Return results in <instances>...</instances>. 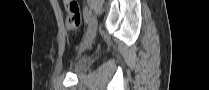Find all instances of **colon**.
<instances>
[{
  "mask_svg": "<svg viewBox=\"0 0 209 90\" xmlns=\"http://www.w3.org/2000/svg\"><path fill=\"white\" fill-rule=\"evenodd\" d=\"M65 8L68 13L66 26L69 30H77L81 26V12L79 5L74 0H65Z\"/></svg>",
  "mask_w": 209,
  "mask_h": 90,
  "instance_id": "1",
  "label": "colon"
}]
</instances>
